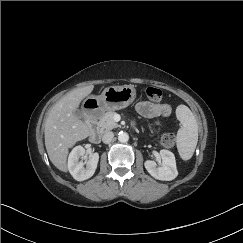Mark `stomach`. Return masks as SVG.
I'll return each mask as SVG.
<instances>
[{"label": "stomach", "instance_id": "obj_1", "mask_svg": "<svg viewBox=\"0 0 243 243\" xmlns=\"http://www.w3.org/2000/svg\"><path fill=\"white\" fill-rule=\"evenodd\" d=\"M136 98V90L132 85L109 86L100 96H89L85 102H95L104 110H119L129 106Z\"/></svg>", "mask_w": 243, "mask_h": 243}]
</instances>
